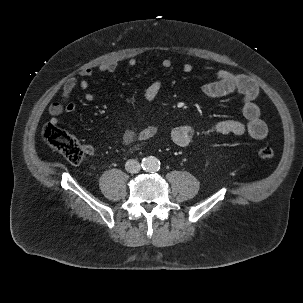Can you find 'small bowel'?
Masks as SVG:
<instances>
[{
    "mask_svg": "<svg viewBox=\"0 0 303 303\" xmlns=\"http://www.w3.org/2000/svg\"><path fill=\"white\" fill-rule=\"evenodd\" d=\"M137 61L135 58L128 60L130 67H135ZM165 70L172 68V62L166 58L161 63ZM118 68L115 61L104 62L99 66V71L102 73H112ZM179 71L184 74H189L193 71V66L190 63H184ZM93 75L91 68H85L80 72V78H71L63 86L61 99L50 104L48 111L50 114V122L58 123L59 116L63 113H73L76 110V105L70 100L73 91L76 88L86 90L89 87V78ZM163 86V81L160 78L153 80L145 90L144 97L148 103L154 102L159 96ZM202 93L211 99H219L230 95L237 94L241 99L243 121L239 120H224L212 124L210 126L195 127L191 125H181L173 128L171 138L173 142L180 146H188L196 137L205 134H220V135H248L253 139H264L268 133L266 123L260 118V109L256 103L258 96V87L256 83L242 74H235L227 70H218L215 74V80L205 83L201 86ZM84 99L88 102L94 100V95L91 92L84 94ZM159 130L157 124H151L138 132L127 130L124 138L126 141H145L153 137ZM85 152L89 155L93 153L91 145H85Z\"/></svg>",
    "mask_w": 303,
    "mask_h": 303,
    "instance_id": "c3829d8e",
    "label": "small bowel"
}]
</instances>
